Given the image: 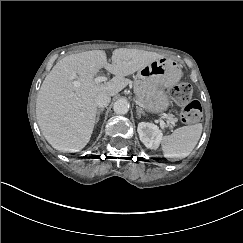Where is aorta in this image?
Returning <instances> with one entry per match:
<instances>
[{"instance_id":"aorta-1","label":"aorta","mask_w":243,"mask_h":243,"mask_svg":"<svg viewBox=\"0 0 243 243\" xmlns=\"http://www.w3.org/2000/svg\"><path fill=\"white\" fill-rule=\"evenodd\" d=\"M114 112L119 115H126L129 112V105L125 100H117L113 106Z\"/></svg>"}]
</instances>
